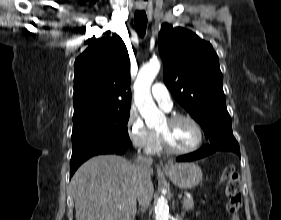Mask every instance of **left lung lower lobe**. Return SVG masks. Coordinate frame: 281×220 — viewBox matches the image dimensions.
I'll return each instance as SVG.
<instances>
[{
  "label": "left lung lower lobe",
  "instance_id": "0a47b994",
  "mask_svg": "<svg viewBox=\"0 0 281 220\" xmlns=\"http://www.w3.org/2000/svg\"><path fill=\"white\" fill-rule=\"evenodd\" d=\"M216 151H231V152H235L240 157L239 146L217 148V147H213L211 145H205L196 152H193V153L188 154V155L177 157L176 160L178 162L193 161V160H197V159L203 158L205 156H208V155H210V154H212Z\"/></svg>",
  "mask_w": 281,
  "mask_h": 220
}]
</instances>
